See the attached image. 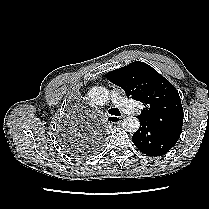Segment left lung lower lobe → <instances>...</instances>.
<instances>
[{
	"mask_svg": "<svg viewBox=\"0 0 209 209\" xmlns=\"http://www.w3.org/2000/svg\"><path fill=\"white\" fill-rule=\"evenodd\" d=\"M140 121V128L133 134L132 141L142 153L148 156H161L176 144L180 134L162 130L146 121Z\"/></svg>",
	"mask_w": 209,
	"mask_h": 209,
	"instance_id": "left-lung-lower-lobe-1",
	"label": "left lung lower lobe"
}]
</instances>
